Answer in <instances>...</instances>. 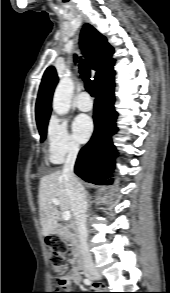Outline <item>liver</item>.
Wrapping results in <instances>:
<instances>
[{
  "label": "liver",
  "instance_id": "obj_1",
  "mask_svg": "<svg viewBox=\"0 0 170 293\" xmlns=\"http://www.w3.org/2000/svg\"><path fill=\"white\" fill-rule=\"evenodd\" d=\"M39 214L42 232L49 236L58 227L59 210L54 206L52 199L59 200V209L62 212H72L71 198L69 196L62 171H56L40 179L39 185Z\"/></svg>",
  "mask_w": 170,
  "mask_h": 293
}]
</instances>
